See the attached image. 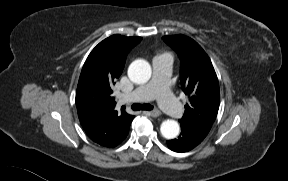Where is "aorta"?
<instances>
[{
  "instance_id": "762f6f07",
  "label": "aorta",
  "mask_w": 288,
  "mask_h": 181,
  "mask_svg": "<svg viewBox=\"0 0 288 181\" xmlns=\"http://www.w3.org/2000/svg\"><path fill=\"white\" fill-rule=\"evenodd\" d=\"M151 66L143 60L133 61L128 68V76L130 80L136 84H144L151 78ZM179 124L175 120H165L160 126L161 134L166 139H174L179 134Z\"/></svg>"
}]
</instances>
